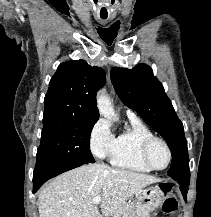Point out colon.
<instances>
[{
	"instance_id": "1",
	"label": "colon",
	"mask_w": 211,
	"mask_h": 217,
	"mask_svg": "<svg viewBox=\"0 0 211 217\" xmlns=\"http://www.w3.org/2000/svg\"><path fill=\"white\" fill-rule=\"evenodd\" d=\"M161 190L163 193L168 194L171 191L169 185H162ZM178 201L174 196H168L163 203V211L165 214H175L178 211Z\"/></svg>"
}]
</instances>
